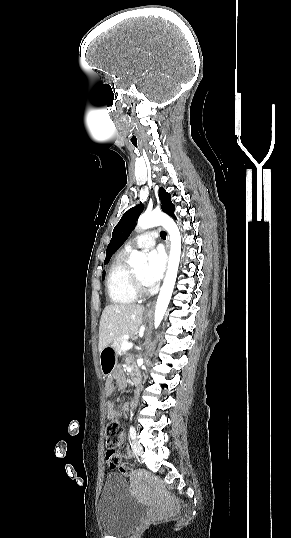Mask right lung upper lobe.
<instances>
[{"label":"right lung upper lobe","mask_w":291,"mask_h":538,"mask_svg":"<svg viewBox=\"0 0 291 538\" xmlns=\"http://www.w3.org/2000/svg\"><path fill=\"white\" fill-rule=\"evenodd\" d=\"M105 262H107V257H106V259H105L104 263H105Z\"/></svg>","instance_id":"right-lung-upper-lobe-1"}]
</instances>
